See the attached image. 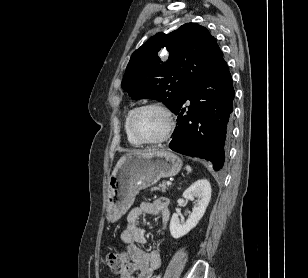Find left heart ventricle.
<instances>
[{"instance_id":"left-heart-ventricle-1","label":"left heart ventricle","mask_w":308,"mask_h":278,"mask_svg":"<svg viewBox=\"0 0 308 278\" xmlns=\"http://www.w3.org/2000/svg\"><path fill=\"white\" fill-rule=\"evenodd\" d=\"M134 126L142 137L156 139L164 134L167 128V118L161 110L147 108L136 115Z\"/></svg>"}]
</instances>
